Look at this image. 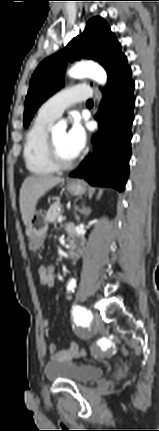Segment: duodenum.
<instances>
[{"mask_svg":"<svg viewBox=\"0 0 159 431\" xmlns=\"http://www.w3.org/2000/svg\"><path fill=\"white\" fill-rule=\"evenodd\" d=\"M84 242L82 238L77 236L73 230L69 231V256L71 259H76L82 253Z\"/></svg>","mask_w":159,"mask_h":431,"instance_id":"obj_1","label":"duodenum"}]
</instances>
